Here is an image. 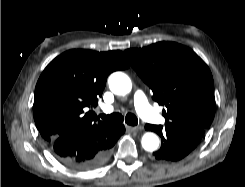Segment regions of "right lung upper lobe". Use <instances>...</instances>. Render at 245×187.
<instances>
[{
    "mask_svg": "<svg viewBox=\"0 0 245 187\" xmlns=\"http://www.w3.org/2000/svg\"><path fill=\"white\" fill-rule=\"evenodd\" d=\"M128 67L119 50H69L51 61L36 84L33 106L44 140L51 143L62 135L106 125L84 108L97 105L111 72Z\"/></svg>",
    "mask_w": 245,
    "mask_h": 187,
    "instance_id": "1",
    "label": "right lung upper lobe"
}]
</instances>
